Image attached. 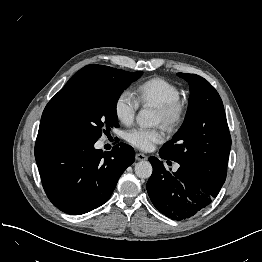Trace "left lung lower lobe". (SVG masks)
<instances>
[{
    "label": "left lung lower lobe",
    "instance_id": "1",
    "mask_svg": "<svg viewBox=\"0 0 262 262\" xmlns=\"http://www.w3.org/2000/svg\"><path fill=\"white\" fill-rule=\"evenodd\" d=\"M163 159H169L159 151ZM153 173L146 188L153 205L173 220L188 219L205 209L219 193L226 175L217 181L206 180L190 168L180 165L175 173L161 161L150 157Z\"/></svg>",
    "mask_w": 262,
    "mask_h": 262
}]
</instances>
